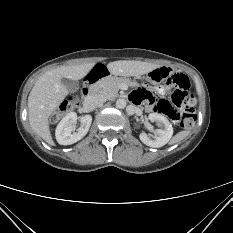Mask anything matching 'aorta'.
I'll use <instances>...</instances> for the list:
<instances>
[{"label": "aorta", "instance_id": "aorta-1", "mask_svg": "<svg viewBox=\"0 0 233 233\" xmlns=\"http://www.w3.org/2000/svg\"><path fill=\"white\" fill-rule=\"evenodd\" d=\"M116 107L118 109H124L126 107V100L125 99H118L116 101Z\"/></svg>", "mask_w": 233, "mask_h": 233}]
</instances>
